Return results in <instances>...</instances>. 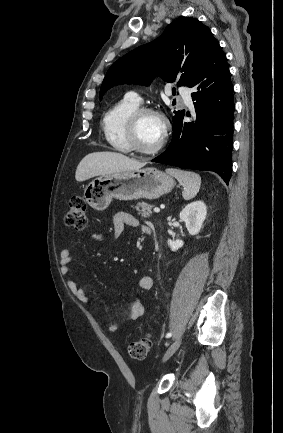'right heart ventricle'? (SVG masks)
Here are the masks:
<instances>
[{
	"label": "right heart ventricle",
	"instance_id": "e07e8e85",
	"mask_svg": "<svg viewBox=\"0 0 283 433\" xmlns=\"http://www.w3.org/2000/svg\"><path fill=\"white\" fill-rule=\"evenodd\" d=\"M138 107L139 104L125 98L109 109L102 118L104 136L107 142L119 152L131 151L125 138V127L127 119Z\"/></svg>",
	"mask_w": 283,
	"mask_h": 433
}]
</instances>
